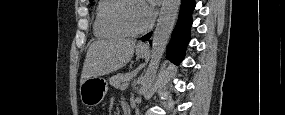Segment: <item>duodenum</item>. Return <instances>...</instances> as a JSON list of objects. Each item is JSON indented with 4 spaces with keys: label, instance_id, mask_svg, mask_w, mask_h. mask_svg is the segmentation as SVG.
<instances>
[{
    "label": "duodenum",
    "instance_id": "duodenum-1",
    "mask_svg": "<svg viewBox=\"0 0 285 115\" xmlns=\"http://www.w3.org/2000/svg\"><path fill=\"white\" fill-rule=\"evenodd\" d=\"M124 110H126L127 109V107L126 106H124V108H123ZM126 114V113H125Z\"/></svg>",
    "mask_w": 285,
    "mask_h": 115
}]
</instances>
